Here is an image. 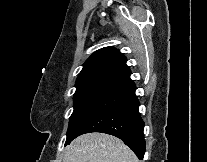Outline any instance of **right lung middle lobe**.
<instances>
[{
	"instance_id": "1",
	"label": "right lung middle lobe",
	"mask_w": 207,
	"mask_h": 162,
	"mask_svg": "<svg viewBox=\"0 0 207 162\" xmlns=\"http://www.w3.org/2000/svg\"><path fill=\"white\" fill-rule=\"evenodd\" d=\"M115 89L107 86L76 89L74 94V111L70 117L66 143L90 112Z\"/></svg>"
}]
</instances>
